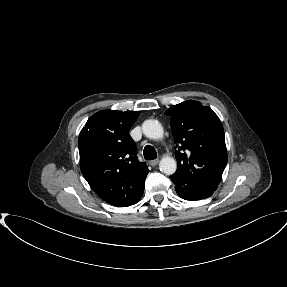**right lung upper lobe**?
Segmentation results:
<instances>
[{"label":"right lung upper lobe","instance_id":"1","mask_svg":"<svg viewBox=\"0 0 287 287\" xmlns=\"http://www.w3.org/2000/svg\"><path fill=\"white\" fill-rule=\"evenodd\" d=\"M138 111L103 110L91 116L78 139L80 168L96 194L114 206L135 204L149 172L137 159L128 131Z\"/></svg>","mask_w":287,"mask_h":287}]
</instances>
